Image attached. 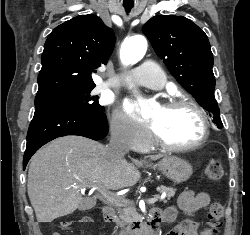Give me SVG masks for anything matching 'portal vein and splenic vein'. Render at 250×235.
<instances>
[{
  "label": "portal vein and splenic vein",
  "instance_id": "1",
  "mask_svg": "<svg viewBox=\"0 0 250 235\" xmlns=\"http://www.w3.org/2000/svg\"><path fill=\"white\" fill-rule=\"evenodd\" d=\"M99 190H100L101 194H102L107 200H109V201H111V202H114V201L116 200V198H114V195H113L112 192L107 191V190H102V189H99ZM165 196H166V195L163 194V195L161 196V199H164ZM157 200H158L157 198H150V199L147 200V203H148V204H154Z\"/></svg>",
  "mask_w": 250,
  "mask_h": 235
}]
</instances>
